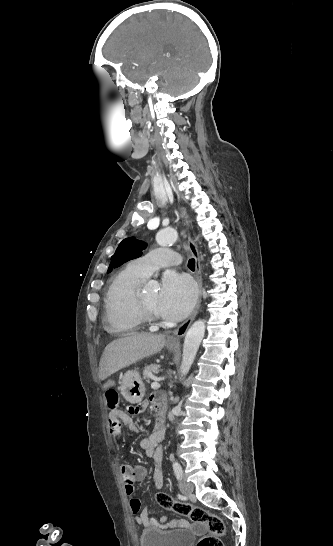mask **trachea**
Instances as JSON below:
<instances>
[{
  "label": "trachea",
  "instance_id": "3493384b",
  "mask_svg": "<svg viewBox=\"0 0 333 546\" xmlns=\"http://www.w3.org/2000/svg\"><path fill=\"white\" fill-rule=\"evenodd\" d=\"M188 268H189L190 270H192V271L195 270V260H194V259H190V260L188 261Z\"/></svg>",
  "mask_w": 333,
  "mask_h": 546
}]
</instances>
